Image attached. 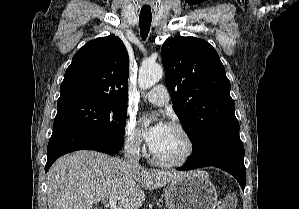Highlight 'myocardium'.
Here are the masks:
<instances>
[{
	"mask_svg": "<svg viewBox=\"0 0 299 209\" xmlns=\"http://www.w3.org/2000/svg\"><path fill=\"white\" fill-rule=\"evenodd\" d=\"M168 126L175 129L176 131H178L185 139L186 145H187L185 153L178 159L164 160V159H161L158 156H156L153 153L152 149L150 148L149 149L150 159L154 164H156L160 167L171 168V167L182 166V165L186 164L193 157V155L195 153V149H196L195 141H194L191 133L182 124L177 123V122H171Z\"/></svg>",
	"mask_w": 299,
	"mask_h": 209,
	"instance_id": "myocardium-1",
	"label": "myocardium"
}]
</instances>
